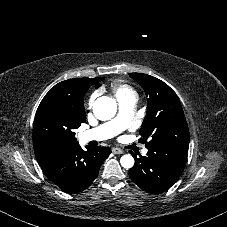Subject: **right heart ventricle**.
<instances>
[{"label":"right heart ventricle","instance_id":"right-heart-ventricle-1","mask_svg":"<svg viewBox=\"0 0 227 227\" xmlns=\"http://www.w3.org/2000/svg\"><path fill=\"white\" fill-rule=\"evenodd\" d=\"M109 89L119 103L128 99H136L135 89L123 80H115L111 82Z\"/></svg>","mask_w":227,"mask_h":227}]
</instances>
